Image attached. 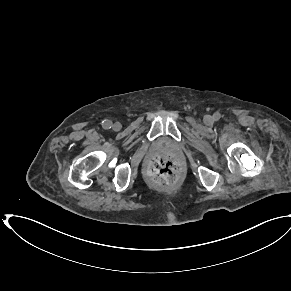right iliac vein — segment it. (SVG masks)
<instances>
[{
  "mask_svg": "<svg viewBox=\"0 0 291 291\" xmlns=\"http://www.w3.org/2000/svg\"><path fill=\"white\" fill-rule=\"evenodd\" d=\"M112 127H113V130L119 131L121 129V124L119 122H116L114 123Z\"/></svg>",
  "mask_w": 291,
  "mask_h": 291,
  "instance_id": "63e3f726",
  "label": "right iliac vein"
}]
</instances>
